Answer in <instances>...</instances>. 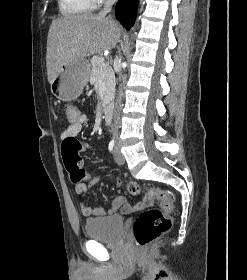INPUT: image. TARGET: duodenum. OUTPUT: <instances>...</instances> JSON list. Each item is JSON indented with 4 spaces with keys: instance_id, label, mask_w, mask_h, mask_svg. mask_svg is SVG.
Here are the masks:
<instances>
[{
    "instance_id": "1",
    "label": "duodenum",
    "mask_w": 247,
    "mask_h": 280,
    "mask_svg": "<svg viewBox=\"0 0 247 280\" xmlns=\"http://www.w3.org/2000/svg\"><path fill=\"white\" fill-rule=\"evenodd\" d=\"M111 114H112L111 106L105 105L103 108V118L106 122H110Z\"/></svg>"
}]
</instances>
